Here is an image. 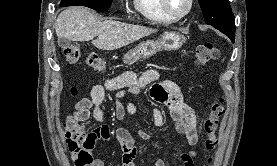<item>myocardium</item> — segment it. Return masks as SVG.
<instances>
[{
  "mask_svg": "<svg viewBox=\"0 0 277 166\" xmlns=\"http://www.w3.org/2000/svg\"><path fill=\"white\" fill-rule=\"evenodd\" d=\"M159 4H160L162 11L168 17H170L172 20H179V19L186 17L191 12L193 5H194V0H188V6H187L186 10L182 13H174L170 9L167 0H159Z\"/></svg>",
  "mask_w": 277,
  "mask_h": 166,
  "instance_id": "myocardium-1",
  "label": "myocardium"
}]
</instances>
